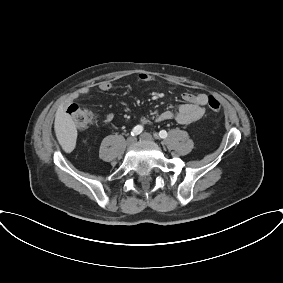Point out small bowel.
<instances>
[{"label": "small bowel", "mask_w": 283, "mask_h": 283, "mask_svg": "<svg viewBox=\"0 0 283 283\" xmlns=\"http://www.w3.org/2000/svg\"><path fill=\"white\" fill-rule=\"evenodd\" d=\"M138 78L143 82H150L154 80L153 76L145 73L139 74ZM98 89L101 92H108L112 89V84L108 81H103L98 85ZM90 93L91 90L88 87H83L79 89L74 98L77 99L79 97L88 96L90 95ZM182 98L185 103L181 104L176 112L165 110L157 115V121H168L175 119L178 123L187 125L202 118V116L204 115V107L207 104L208 96L204 93L195 94L192 92H185L182 94ZM113 119L114 114L112 112H108L105 114L102 122L107 124L112 122ZM141 121L144 124L149 123V120L146 118H142Z\"/></svg>", "instance_id": "1"}]
</instances>
